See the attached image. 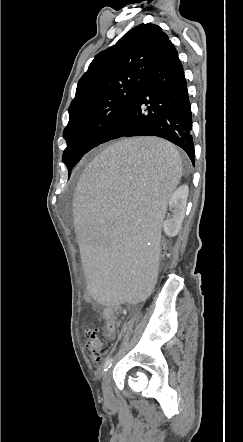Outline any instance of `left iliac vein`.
Wrapping results in <instances>:
<instances>
[{
	"mask_svg": "<svg viewBox=\"0 0 243 442\" xmlns=\"http://www.w3.org/2000/svg\"><path fill=\"white\" fill-rule=\"evenodd\" d=\"M103 397L106 403H110L113 400V389L111 384V371H107L103 376L102 381Z\"/></svg>",
	"mask_w": 243,
	"mask_h": 442,
	"instance_id": "1",
	"label": "left iliac vein"
}]
</instances>
